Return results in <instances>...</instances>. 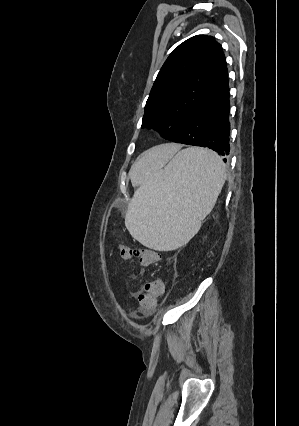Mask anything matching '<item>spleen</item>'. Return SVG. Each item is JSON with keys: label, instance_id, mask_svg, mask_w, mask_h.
Here are the masks:
<instances>
[{"label": "spleen", "instance_id": "3e777b00", "mask_svg": "<svg viewBox=\"0 0 299 426\" xmlns=\"http://www.w3.org/2000/svg\"><path fill=\"white\" fill-rule=\"evenodd\" d=\"M227 174L213 151L189 147L149 174L128 204L125 226L142 245L171 251L186 244L211 212Z\"/></svg>", "mask_w": 299, "mask_h": 426}]
</instances>
